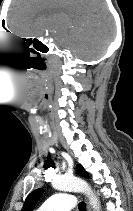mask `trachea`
Returning <instances> with one entry per match:
<instances>
[{"mask_svg":"<svg viewBox=\"0 0 133 211\" xmlns=\"http://www.w3.org/2000/svg\"><path fill=\"white\" fill-rule=\"evenodd\" d=\"M79 210H80V211H86V204H85L84 202H81V203L79 204Z\"/></svg>","mask_w":133,"mask_h":211,"instance_id":"trachea-1","label":"trachea"}]
</instances>
